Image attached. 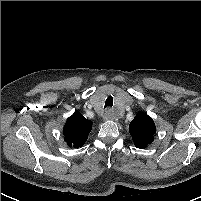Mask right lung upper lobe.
Segmentation results:
<instances>
[{
    "label": "right lung upper lobe",
    "instance_id": "1",
    "mask_svg": "<svg viewBox=\"0 0 201 201\" xmlns=\"http://www.w3.org/2000/svg\"><path fill=\"white\" fill-rule=\"evenodd\" d=\"M91 129L92 122L76 111L66 121L63 129L64 140L70 147L79 148L86 142Z\"/></svg>",
    "mask_w": 201,
    "mask_h": 201
}]
</instances>
